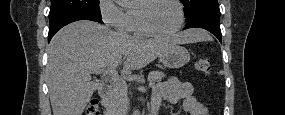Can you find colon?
Listing matches in <instances>:
<instances>
[{"label": "colon", "instance_id": "obj_1", "mask_svg": "<svg viewBox=\"0 0 285 115\" xmlns=\"http://www.w3.org/2000/svg\"><path fill=\"white\" fill-rule=\"evenodd\" d=\"M196 69L202 74L208 75L211 72V65L208 59L201 58L196 62ZM86 115L99 114V102L97 99H91L85 110Z\"/></svg>", "mask_w": 285, "mask_h": 115}]
</instances>
